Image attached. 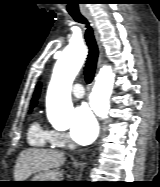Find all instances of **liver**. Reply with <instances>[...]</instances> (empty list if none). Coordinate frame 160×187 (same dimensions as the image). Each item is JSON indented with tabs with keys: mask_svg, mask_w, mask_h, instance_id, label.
<instances>
[{
	"mask_svg": "<svg viewBox=\"0 0 160 187\" xmlns=\"http://www.w3.org/2000/svg\"><path fill=\"white\" fill-rule=\"evenodd\" d=\"M65 162L63 152L27 149L20 153L14 170L15 181H24L34 173L49 172Z\"/></svg>",
	"mask_w": 160,
	"mask_h": 187,
	"instance_id": "1",
	"label": "liver"
}]
</instances>
